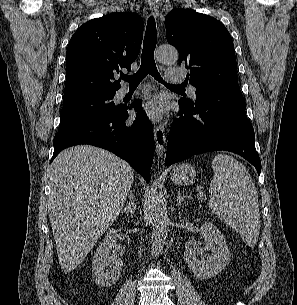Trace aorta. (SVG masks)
I'll return each instance as SVG.
<instances>
[{
	"label": "aorta",
	"instance_id": "1",
	"mask_svg": "<svg viewBox=\"0 0 297 305\" xmlns=\"http://www.w3.org/2000/svg\"><path fill=\"white\" fill-rule=\"evenodd\" d=\"M179 57L176 48L171 46H160L156 52V59L162 64H174ZM169 217L164 197L161 193L154 192L152 198V227L151 251L160 254L167 236Z\"/></svg>",
	"mask_w": 297,
	"mask_h": 305
}]
</instances>
